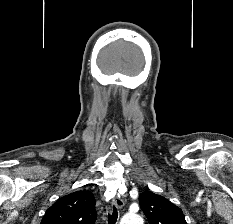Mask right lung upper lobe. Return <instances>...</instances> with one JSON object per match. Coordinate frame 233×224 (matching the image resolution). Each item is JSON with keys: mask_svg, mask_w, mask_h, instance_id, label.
Returning <instances> with one entry per match:
<instances>
[{"mask_svg": "<svg viewBox=\"0 0 233 224\" xmlns=\"http://www.w3.org/2000/svg\"><path fill=\"white\" fill-rule=\"evenodd\" d=\"M95 198L89 191H76L60 198L46 211L40 224H94Z\"/></svg>", "mask_w": 233, "mask_h": 224, "instance_id": "cb5924a9", "label": "right lung upper lobe"}]
</instances>
